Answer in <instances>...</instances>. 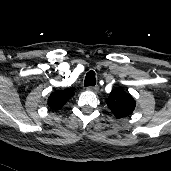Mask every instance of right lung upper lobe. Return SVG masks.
<instances>
[{
    "mask_svg": "<svg viewBox=\"0 0 171 171\" xmlns=\"http://www.w3.org/2000/svg\"><path fill=\"white\" fill-rule=\"evenodd\" d=\"M73 95L74 91L71 89L52 92L48 98V105L52 110H59Z\"/></svg>",
    "mask_w": 171,
    "mask_h": 171,
    "instance_id": "1",
    "label": "right lung upper lobe"
}]
</instances>
